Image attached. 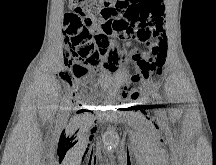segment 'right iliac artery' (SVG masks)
Here are the masks:
<instances>
[{"label":"right iliac artery","instance_id":"obj_1","mask_svg":"<svg viewBox=\"0 0 216 165\" xmlns=\"http://www.w3.org/2000/svg\"><path fill=\"white\" fill-rule=\"evenodd\" d=\"M68 104H69V103L66 101L63 105H61L60 111L63 112L64 109L66 108V106H67Z\"/></svg>","mask_w":216,"mask_h":165}]
</instances>
